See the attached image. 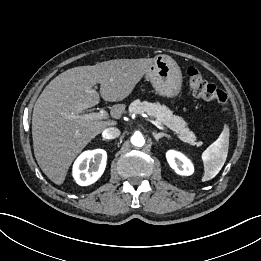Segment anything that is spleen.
I'll return each instance as SVG.
<instances>
[{"instance_id": "spleen-1", "label": "spleen", "mask_w": 261, "mask_h": 261, "mask_svg": "<svg viewBox=\"0 0 261 261\" xmlns=\"http://www.w3.org/2000/svg\"><path fill=\"white\" fill-rule=\"evenodd\" d=\"M229 148V127L227 124L219 135L218 139L213 142L202 154L204 164V176L202 181L213 179L222 169L228 154Z\"/></svg>"}]
</instances>
